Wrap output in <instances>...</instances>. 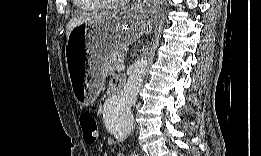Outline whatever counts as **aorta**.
Returning <instances> with one entry per match:
<instances>
[{"label":"aorta","mask_w":261,"mask_h":156,"mask_svg":"<svg viewBox=\"0 0 261 156\" xmlns=\"http://www.w3.org/2000/svg\"><path fill=\"white\" fill-rule=\"evenodd\" d=\"M147 72V59L135 61L123 91L109 97L103 106L102 121L108 134L118 140L127 138L133 130L132 105L136 102L139 90Z\"/></svg>","instance_id":"aorta-1"}]
</instances>
